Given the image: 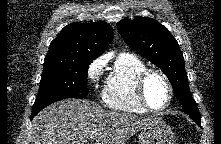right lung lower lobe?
<instances>
[{"mask_svg": "<svg viewBox=\"0 0 221 144\" xmlns=\"http://www.w3.org/2000/svg\"><path fill=\"white\" fill-rule=\"evenodd\" d=\"M35 115H36L35 113H32V114H31V119H32Z\"/></svg>", "mask_w": 221, "mask_h": 144, "instance_id": "1", "label": "right lung lower lobe"}]
</instances>
